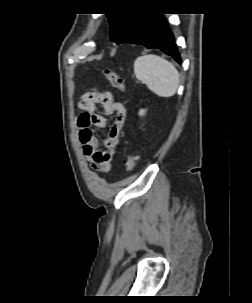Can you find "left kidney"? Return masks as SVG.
<instances>
[{
	"instance_id": "left-kidney-1",
	"label": "left kidney",
	"mask_w": 252,
	"mask_h": 303,
	"mask_svg": "<svg viewBox=\"0 0 252 303\" xmlns=\"http://www.w3.org/2000/svg\"><path fill=\"white\" fill-rule=\"evenodd\" d=\"M139 114H140V115H143V114H144V110H141Z\"/></svg>"
}]
</instances>
